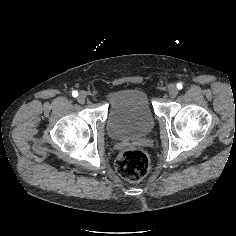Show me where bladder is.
I'll return each mask as SVG.
<instances>
[{
	"mask_svg": "<svg viewBox=\"0 0 236 236\" xmlns=\"http://www.w3.org/2000/svg\"><path fill=\"white\" fill-rule=\"evenodd\" d=\"M155 124L156 115L146 89L127 86L111 96L106 119V132L111 139L144 137Z\"/></svg>",
	"mask_w": 236,
	"mask_h": 236,
	"instance_id": "1",
	"label": "bladder"
}]
</instances>
